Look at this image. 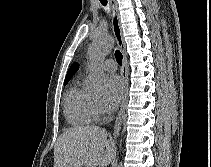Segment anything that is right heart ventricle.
I'll return each mask as SVG.
<instances>
[{"mask_svg":"<svg viewBox=\"0 0 211 167\" xmlns=\"http://www.w3.org/2000/svg\"><path fill=\"white\" fill-rule=\"evenodd\" d=\"M93 95L82 86L79 79L69 88L64 100L67 120L74 125H87L95 121Z\"/></svg>","mask_w":211,"mask_h":167,"instance_id":"1","label":"right heart ventricle"}]
</instances>
